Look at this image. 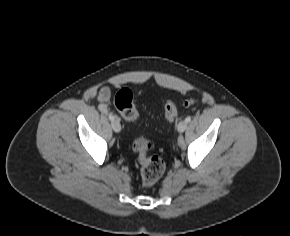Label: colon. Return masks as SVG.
<instances>
[{"instance_id": "obj_1", "label": "colon", "mask_w": 290, "mask_h": 236, "mask_svg": "<svg viewBox=\"0 0 290 236\" xmlns=\"http://www.w3.org/2000/svg\"><path fill=\"white\" fill-rule=\"evenodd\" d=\"M194 100H186L183 105L189 106ZM114 104L122 117L129 122H136L139 119V111L133 103V93L128 88L121 89L115 96ZM178 113L176 102L168 100L164 106V117L168 122H172ZM133 150L138 154L141 165V180L144 186L150 187L156 184L165 171V163L159 156L150 155V141L141 136L134 140Z\"/></svg>"}]
</instances>
